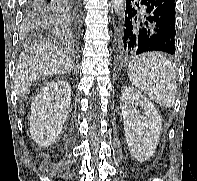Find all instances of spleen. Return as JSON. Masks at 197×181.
<instances>
[{
	"instance_id": "3e777b00",
	"label": "spleen",
	"mask_w": 197,
	"mask_h": 181,
	"mask_svg": "<svg viewBox=\"0 0 197 181\" xmlns=\"http://www.w3.org/2000/svg\"><path fill=\"white\" fill-rule=\"evenodd\" d=\"M127 73L132 84L161 106L171 107L175 101V68L161 53L136 57Z\"/></svg>"
}]
</instances>
